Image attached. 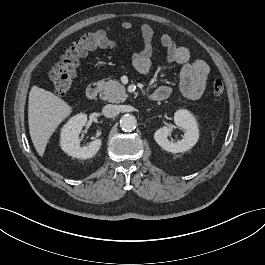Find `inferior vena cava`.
I'll return each instance as SVG.
<instances>
[{
	"mask_svg": "<svg viewBox=\"0 0 265 265\" xmlns=\"http://www.w3.org/2000/svg\"><path fill=\"white\" fill-rule=\"evenodd\" d=\"M102 114L108 118L114 117L119 114V108L113 104L105 105L102 109Z\"/></svg>",
	"mask_w": 265,
	"mask_h": 265,
	"instance_id": "obj_1",
	"label": "inferior vena cava"
}]
</instances>
